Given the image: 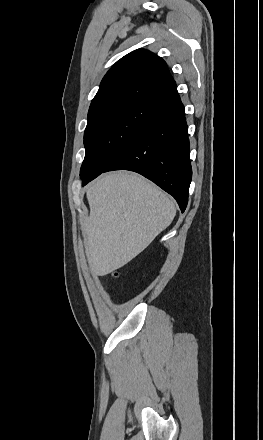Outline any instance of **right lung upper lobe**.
Segmentation results:
<instances>
[{
	"label": "right lung upper lobe",
	"mask_w": 263,
	"mask_h": 440,
	"mask_svg": "<svg viewBox=\"0 0 263 440\" xmlns=\"http://www.w3.org/2000/svg\"><path fill=\"white\" fill-rule=\"evenodd\" d=\"M176 92L165 61L148 50L137 49L118 60L104 76L91 102L88 119L115 107L157 106Z\"/></svg>",
	"instance_id": "obj_1"
}]
</instances>
